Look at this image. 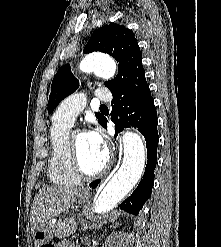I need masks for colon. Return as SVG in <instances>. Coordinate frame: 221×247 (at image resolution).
<instances>
[{"instance_id": "5ec220e1", "label": "colon", "mask_w": 221, "mask_h": 247, "mask_svg": "<svg viewBox=\"0 0 221 247\" xmlns=\"http://www.w3.org/2000/svg\"><path fill=\"white\" fill-rule=\"evenodd\" d=\"M43 247H54V246L50 245V244H47V245H44Z\"/></svg>"}]
</instances>
